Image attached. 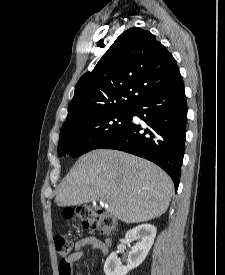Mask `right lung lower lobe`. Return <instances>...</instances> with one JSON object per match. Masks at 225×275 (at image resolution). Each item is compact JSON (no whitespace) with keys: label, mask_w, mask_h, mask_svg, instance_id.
Returning <instances> with one entry per match:
<instances>
[{"label":"right lung lower lobe","mask_w":225,"mask_h":275,"mask_svg":"<svg viewBox=\"0 0 225 275\" xmlns=\"http://www.w3.org/2000/svg\"><path fill=\"white\" fill-rule=\"evenodd\" d=\"M132 116H138L146 125L132 123ZM186 121L187 104L181 81L134 105L127 125L99 148L125 151L156 163L170 175L177 190L184 155Z\"/></svg>","instance_id":"98d812e1"}]
</instances>
